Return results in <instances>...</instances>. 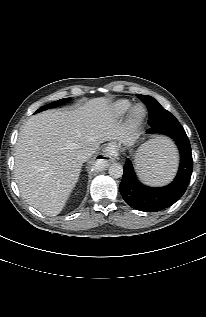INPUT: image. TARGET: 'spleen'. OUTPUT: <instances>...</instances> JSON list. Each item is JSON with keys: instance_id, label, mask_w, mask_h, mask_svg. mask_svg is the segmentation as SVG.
<instances>
[{"instance_id": "1", "label": "spleen", "mask_w": 206, "mask_h": 317, "mask_svg": "<svg viewBox=\"0 0 206 317\" xmlns=\"http://www.w3.org/2000/svg\"><path fill=\"white\" fill-rule=\"evenodd\" d=\"M135 168L139 178L149 185H162L171 180L177 165V152L167 138L143 145L136 154Z\"/></svg>"}]
</instances>
